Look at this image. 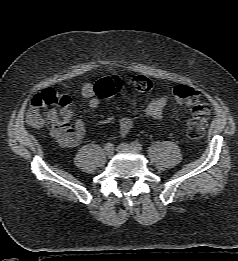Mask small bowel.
I'll return each instance as SVG.
<instances>
[{"mask_svg": "<svg viewBox=\"0 0 238 261\" xmlns=\"http://www.w3.org/2000/svg\"><path fill=\"white\" fill-rule=\"evenodd\" d=\"M81 94L88 100L89 106L92 109H97L101 105V98L95 89V84L85 83L81 88ZM168 97L162 95L152 99L149 104L145 107L142 115L148 118L160 119L163 116L164 109L167 105ZM136 117H123L119 120L114 118H107L100 122L101 125H114L117 124L120 137L126 136L133 124ZM71 114L70 112L66 117H61L57 113H52L49 117V121L52 123V135L57 141L64 147H76L80 144L81 140L86 134V125L81 119H76L73 124L70 123Z\"/></svg>", "mask_w": 238, "mask_h": 261, "instance_id": "small-bowel-1", "label": "small bowel"}]
</instances>
